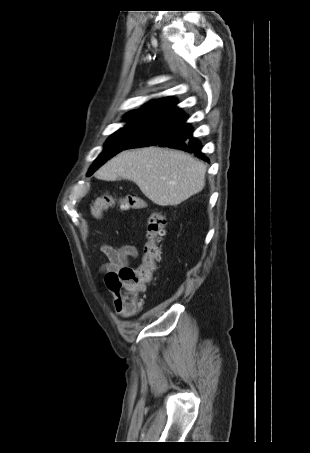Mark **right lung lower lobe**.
<instances>
[{
  "instance_id": "right-lung-lower-lobe-1",
  "label": "right lung lower lobe",
  "mask_w": 310,
  "mask_h": 453,
  "mask_svg": "<svg viewBox=\"0 0 310 453\" xmlns=\"http://www.w3.org/2000/svg\"><path fill=\"white\" fill-rule=\"evenodd\" d=\"M186 120L187 116L180 108L173 106L133 139L123 150L160 145L194 153L197 157L206 160L204 154L200 151L202 146L193 137V129Z\"/></svg>"
}]
</instances>
